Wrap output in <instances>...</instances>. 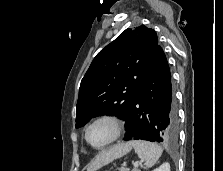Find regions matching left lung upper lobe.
I'll list each match as a JSON object with an SVG mask.
<instances>
[{"label": "left lung upper lobe", "mask_w": 223, "mask_h": 171, "mask_svg": "<svg viewBox=\"0 0 223 171\" xmlns=\"http://www.w3.org/2000/svg\"><path fill=\"white\" fill-rule=\"evenodd\" d=\"M158 46L155 31L141 25L102 49L80 84L76 128L99 115L126 120Z\"/></svg>", "instance_id": "5c2ea615"}]
</instances>
